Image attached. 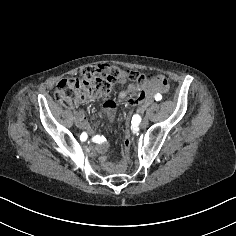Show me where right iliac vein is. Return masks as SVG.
I'll use <instances>...</instances> for the list:
<instances>
[{
    "label": "right iliac vein",
    "instance_id": "right-iliac-vein-1",
    "mask_svg": "<svg viewBox=\"0 0 236 236\" xmlns=\"http://www.w3.org/2000/svg\"><path fill=\"white\" fill-rule=\"evenodd\" d=\"M87 131H88L89 133H93V132H94V129H93V128H89Z\"/></svg>",
    "mask_w": 236,
    "mask_h": 236
}]
</instances>
